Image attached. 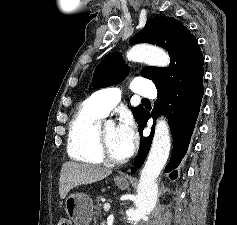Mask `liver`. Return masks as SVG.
<instances>
[{"label": "liver", "instance_id": "liver-1", "mask_svg": "<svg viewBox=\"0 0 237 225\" xmlns=\"http://www.w3.org/2000/svg\"><path fill=\"white\" fill-rule=\"evenodd\" d=\"M111 173L112 170L98 166L66 162L62 165L59 178L60 198L64 199L68 192L77 186L100 181Z\"/></svg>", "mask_w": 237, "mask_h": 225}]
</instances>
